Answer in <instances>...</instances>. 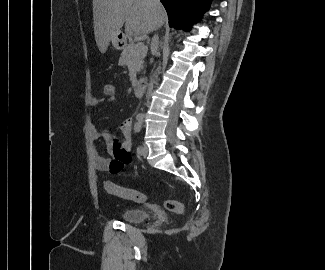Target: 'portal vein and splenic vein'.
I'll list each match as a JSON object with an SVG mask.
<instances>
[{
	"instance_id": "18ae733b",
	"label": "portal vein and splenic vein",
	"mask_w": 325,
	"mask_h": 270,
	"mask_svg": "<svg viewBox=\"0 0 325 270\" xmlns=\"http://www.w3.org/2000/svg\"><path fill=\"white\" fill-rule=\"evenodd\" d=\"M137 46H138L139 48H141V49H144V47H145L144 43H142V42H138V43H137Z\"/></svg>"
}]
</instances>
